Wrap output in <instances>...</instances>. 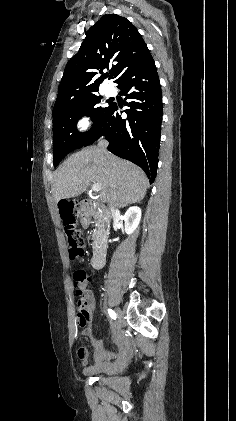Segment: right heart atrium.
<instances>
[{"mask_svg": "<svg viewBox=\"0 0 236 421\" xmlns=\"http://www.w3.org/2000/svg\"><path fill=\"white\" fill-rule=\"evenodd\" d=\"M90 126V120L87 115H82L76 124L77 130L79 132H85Z\"/></svg>", "mask_w": 236, "mask_h": 421, "instance_id": "right-heart-atrium-1", "label": "right heart atrium"}]
</instances>
